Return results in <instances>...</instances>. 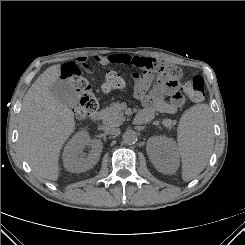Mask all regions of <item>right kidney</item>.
<instances>
[{"label":"right kidney","instance_id":"obj_1","mask_svg":"<svg viewBox=\"0 0 245 245\" xmlns=\"http://www.w3.org/2000/svg\"><path fill=\"white\" fill-rule=\"evenodd\" d=\"M89 146L88 154L83 152ZM103 143L99 139H91L87 131H79L66 144L63 152L65 168L73 173L91 169L99 160Z\"/></svg>","mask_w":245,"mask_h":245}]
</instances>
